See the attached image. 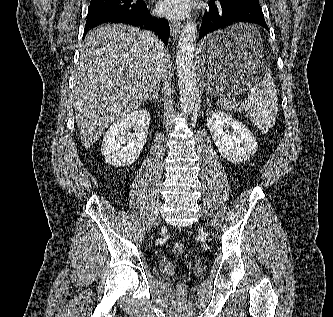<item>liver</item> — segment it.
<instances>
[{"label":"liver","instance_id":"6515ba94","mask_svg":"<svg viewBox=\"0 0 333 317\" xmlns=\"http://www.w3.org/2000/svg\"><path fill=\"white\" fill-rule=\"evenodd\" d=\"M169 53L152 33L124 24L90 32L74 78L73 105L82 143L89 148L118 118L131 113L157 84V64Z\"/></svg>","mask_w":333,"mask_h":317}]
</instances>
